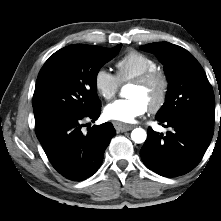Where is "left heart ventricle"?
<instances>
[{
	"label": "left heart ventricle",
	"instance_id": "left-heart-ventricle-1",
	"mask_svg": "<svg viewBox=\"0 0 221 221\" xmlns=\"http://www.w3.org/2000/svg\"><path fill=\"white\" fill-rule=\"evenodd\" d=\"M157 91V82L144 87L131 84L128 89L127 96L129 98H139L148 106L155 99Z\"/></svg>",
	"mask_w": 221,
	"mask_h": 221
}]
</instances>
